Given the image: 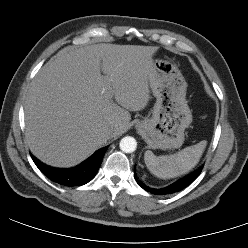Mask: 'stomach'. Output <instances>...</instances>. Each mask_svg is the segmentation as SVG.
I'll return each instance as SVG.
<instances>
[{"mask_svg": "<svg viewBox=\"0 0 248 248\" xmlns=\"http://www.w3.org/2000/svg\"><path fill=\"white\" fill-rule=\"evenodd\" d=\"M150 88L156 97L152 117L136 123L152 149L179 148L184 142V131L192 122L186 101L187 82L178 67L166 60L153 61Z\"/></svg>", "mask_w": 248, "mask_h": 248, "instance_id": "stomach-1", "label": "stomach"}]
</instances>
